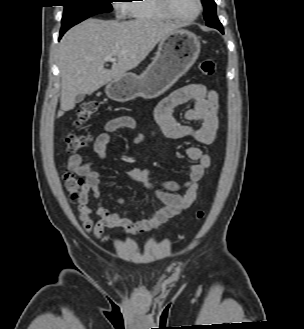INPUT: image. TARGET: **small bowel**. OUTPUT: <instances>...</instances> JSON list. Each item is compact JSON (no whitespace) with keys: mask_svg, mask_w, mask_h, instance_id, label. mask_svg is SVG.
<instances>
[{"mask_svg":"<svg viewBox=\"0 0 304 329\" xmlns=\"http://www.w3.org/2000/svg\"><path fill=\"white\" fill-rule=\"evenodd\" d=\"M193 102V107L184 113L187 121L201 122L200 127H192L179 122L173 115L175 107ZM157 124L162 133L173 139H193L208 145L214 142L218 130V95L202 84H188L182 86L157 105L154 113ZM135 122L129 117H117L108 121L105 132L101 133L94 144L96 159L106 157V149L111 142V134L121 129H133ZM132 141L135 144L147 142V137L136 134ZM187 157L192 163L185 166L187 179L185 181L165 180L160 187L154 189L150 182V171L147 168H131L127 175L152 189L156 198L163 204L160 209L134 214L125 210L122 215L106 208L102 198L114 201L123 206L124 200L104 190L99 171L93 168L94 160L84 162L81 156L73 154L69 158L68 167L85 178V184L77 201L78 217L84 230L92 232L96 239H101L105 229L119 227L129 235L148 232L158 228L183 210L189 208L197 197L199 184L205 170L211 165V157L200 148L190 146L186 149ZM183 191V193H181ZM90 199L96 201L95 213L99 220L94 223L91 214L93 208Z\"/></svg>","mask_w":304,"mask_h":329,"instance_id":"1","label":"small bowel"}]
</instances>
